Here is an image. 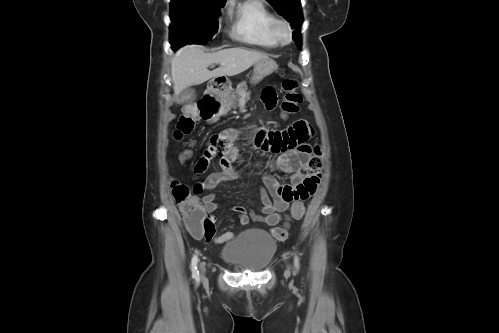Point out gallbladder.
Masks as SVG:
<instances>
[{
  "label": "gallbladder",
  "mask_w": 499,
  "mask_h": 333,
  "mask_svg": "<svg viewBox=\"0 0 499 333\" xmlns=\"http://www.w3.org/2000/svg\"><path fill=\"white\" fill-rule=\"evenodd\" d=\"M196 98V93L194 89H186L182 92L181 97L178 100L180 104L191 103Z\"/></svg>",
  "instance_id": "gallbladder-1"
}]
</instances>
